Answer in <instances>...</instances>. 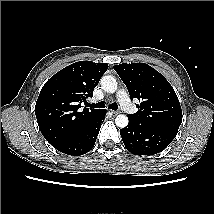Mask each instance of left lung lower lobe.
<instances>
[{
  "label": "left lung lower lobe",
  "instance_id": "0a47b994",
  "mask_svg": "<svg viewBox=\"0 0 214 214\" xmlns=\"http://www.w3.org/2000/svg\"><path fill=\"white\" fill-rule=\"evenodd\" d=\"M127 127L120 130L128 151L135 155H154L163 151L177 133L140 124L130 118Z\"/></svg>",
  "mask_w": 214,
  "mask_h": 214
}]
</instances>
